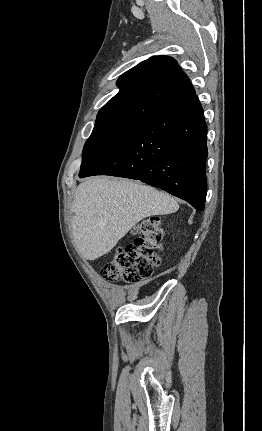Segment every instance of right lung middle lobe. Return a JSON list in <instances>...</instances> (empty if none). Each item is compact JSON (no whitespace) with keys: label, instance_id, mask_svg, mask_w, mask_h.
<instances>
[{"label":"right lung middle lobe","instance_id":"1","mask_svg":"<svg viewBox=\"0 0 262 431\" xmlns=\"http://www.w3.org/2000/svg\"><path fill=\"white\" fill-rule=\"evenodd\" d=\"M133 124L111 123L95 125L83 150L80 172L92 166Z\"/></svg>","mask_w":262,"mask_h":431}]
</instances>
